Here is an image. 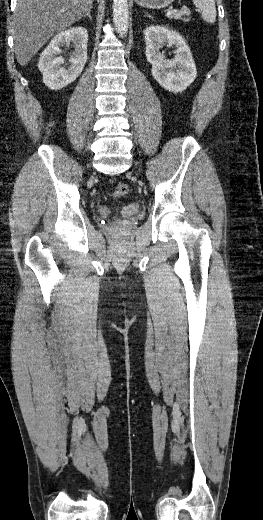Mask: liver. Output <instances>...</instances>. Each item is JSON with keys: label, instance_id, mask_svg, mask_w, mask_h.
<instances>
[{"label": "liver", "instance_id": "obj_1", "mask_svg": "<svg viewBox=\"0 0 263 520\" xmlns=\"http://www.w3.org/2000/svg\"><path fill=\"white\" fill-rule=\"evenodd\" d=\"M94 0H17L14 11L15 55L21 66L54 35L80 20Z\"/></svg>", "mask_w": 263, "mask_h": 520}]
</instances>
